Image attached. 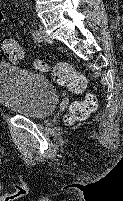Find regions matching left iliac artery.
Returning a JSON list of instances; mask_svg holds the SVG:
<instances>
[{
    "mask_svg": "<svg viewBox=\"0 0 123 201\" xmlns=\"http://www.w3.org/2000/svg\"><path fill=\"white\" fill-rule=\"evenodd\" d=\"M32 36H33L34 40H38V38H39V33H38V31H34V32L32 33Z\"/></svg>",
    "mask_w": 123,
    "mask_h": 201,
    "instance_id": "44dca946",
    "label": "left iliac artery"
}]
</instances>
